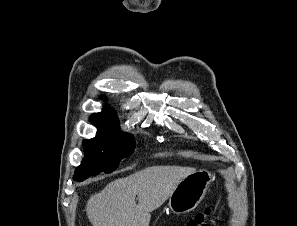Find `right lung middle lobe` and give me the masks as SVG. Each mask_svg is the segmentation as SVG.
Segmentation results:
<instances>
[{"instance_id": "right-lung-middle-lobe-1", "label": "right lung middle lobe", "mask_w": 297, "mask_h": 226, "mask_svg": "<svg viewBox=\"0 0 297 226\" xmlns=\"http://www.w3.org/2000/svg\"><path fill=\"white\" fill-rule=\"evenodd\" d=\"M83 147L85 157L73 177L79 182L91 175L115 170L123 158L133 153L135 141L131 134L122 133L117 125L98 129L96 137L83 141Z\"/></svg>"}]
</instances>
